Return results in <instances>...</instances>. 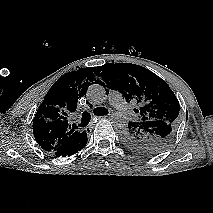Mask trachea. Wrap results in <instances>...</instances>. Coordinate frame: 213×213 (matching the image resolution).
<instances>
[{
	"instance_id": "obj_1",
	"label": "trachea",
	"mask_w": 213,
	"mask_h": 213,
	"mask_svg": "<svg viewBox=\"0 0 213 213\" xmlns=\"http://www.w3.org/2000/svg\"><path fill=\"white\" fill-rule=\"evenodd\" d=\"M93 113L97 116H102V115H107L108 114V110L105 109L104 107H97L94 109ZM91 120V115L88 112H83L82 113V120L79 126L81 127H85L89 124Z\"/></svg>"
}]
</instances>
